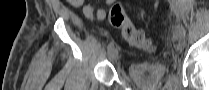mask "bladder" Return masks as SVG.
I'll list each match as a JSON object with an SVG mask.
<instances>
[{
	"instance_id": "31cf9c89",
	"label": "bladder",
	"mask_w": 209,
	"mask_h": 90,
	"mask_svg": "<svg viewBox=\"0 0 209 90\" xmlns=\"http://www.w3.org/2000/svg\"><path fill=\"white\" fill-rule=\"evenodd\" d=\"M168 74V65L163 62L133 63L128 67V75L140 87L153 88Z\"/></svg>"
}]
</instances>
